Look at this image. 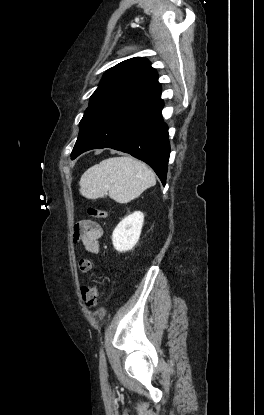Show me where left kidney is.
<instances>
[{"label":"left kidney","mask_w":264,"mask_h":415,"mask_svg":"<svg viewBox=\"0 0 264 415\" xmlns=\"http://www.w3.org/2000/svg\"><path fill=\"white\" fill-rule=\"evenodd\" d=\"M144 214L133 212L120 221L112 233V243L118 252L132 250L139 240Z\"/></svg>","instance_id":"5707ae66"}]
</instances>
